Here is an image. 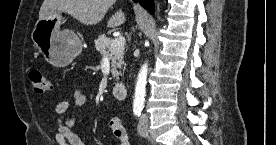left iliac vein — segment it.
<instances>
[{
	"mask_svg": "<svg viewBox=\"0 0 276 145\" xmlns=\"http://www.w3.org/2000/svg\"><path fill=\"white\" fill-rule=\"evenodd\" d=\"M148 122V116L143 114L138 124V133L142 137H146L148 135Z\"/></svg>",
	"mask_w": 276,
	"mask_h": 145,
	"instance_id": "4c4485c4",
	"label": "left iliac vein"
}]
</instances>
